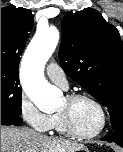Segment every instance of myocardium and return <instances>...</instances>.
I'll return each mask as SVG.
<instances>
[{"mask_svg": "<svg viewBox=\"0 0 123 152\" xmlns=\"http://www.w3.org/2000/svg\"><path fill=\"white\" fill-rule=\"evenodd\" d=\"M65 98L69 104H71L79 99L88 100L98 108L100 115H101V123L97 130H95L94 132H91V133H81V132H78L74 128L70 115L67 111L58 112V115L61 119L63 128L65 129L67 134H69L72 137L79 138V139H91V138L97 137L104 131V129L107 126L108 118H107L106 110L99 100H97L94 96H92L88 93H84V92L70 93V94L66 95Z\"/></svg>", "mask_w": 123, "mask_h": 152, "instance_id": "f54148a6", "label": "myocardium"}]
</instances>
